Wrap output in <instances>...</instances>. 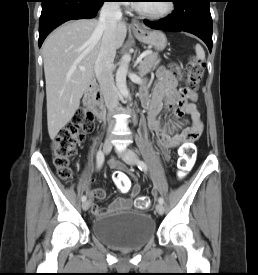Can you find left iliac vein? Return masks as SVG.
I'll return each mask as SVG.
<instances>
[{
	"instance_id": "4c4485c4",
	"label": "left iliac vein",
	"mask_w": 258,
	"mask_h": 275,
	"mask_svg": "<svg viewBox=\"0 0 258 275\" xmlns=\"http://www.w3.org/2000/svg\"><path fill=\"white\" fill-rule=\"evenodd\" d=\"M118 154L120 155L122 160L127 164L134 165L136 163L137 155L134 151L130 149H124L122 152H118ZM156 211L158 212V214L162 215L164 213L163 204L158 203L156 205Z\"/></svg>"
}]
</instances>
